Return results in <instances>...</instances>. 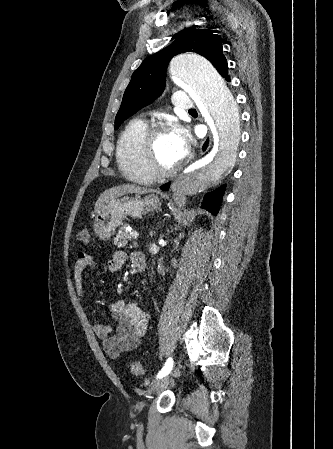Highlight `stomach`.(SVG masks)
Instances as JSON below:
<instances>
[{"mask_svg": "<svg viewBox=\"0 0 333 449\" xmlns=\"http://www.w3.org/2000/svg\"><path fill=\"white\" fill-rule=\"evenodd\" d=\"M159 198L150 194L144 199L124 197L109 200L96 212L94 231L99 239L108 240L127 216L141 218L145 213L158 209Z\"/></svg>", "mask_w": 333, "mask_h": 449, "instance_id": "1", "label": "stomach"}]
</instances>
